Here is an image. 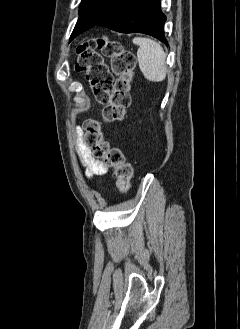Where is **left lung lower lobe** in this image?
<instances>
[{"label": "left lung lower lobe", "mask_w": 240, "mask_h": 329, "mask_svg": "<svg viewBox=\"0 0 240 329\" xmlns=\"http://www.w3.org/2000/svg\"><path fill=\"white\" fill-rule=\"evenodd\" d=\"M166 16L160 0H121L95 25H103L122 33H144L168 45L163 33Z\"/></svg>", "instance_id": "obj_1"}]
</instances>
